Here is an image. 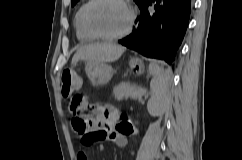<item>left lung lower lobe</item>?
Returning a JSON list of instances; mask_svg holds the SVG:
<instances>
[{
  "instance_id": "1",
  "label": "left lung lower lobe",
  "mask_w": 242,
  "mask_h": 160,
  "mask_svg": "<svg viewBox=\"0 0 242 160\" xmlns=\"http://www.w3.org/2000/svg\"><path fill=\"white\" fill-rule=\"evenodd\" d=\"M140 12L133 32L118 42L172 64L188 26L191 0H145Z\"/></svg>"
}]
</instances>
